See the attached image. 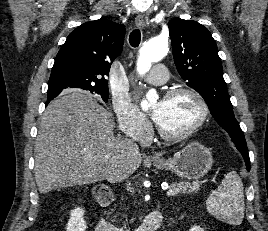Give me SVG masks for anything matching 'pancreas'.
<instances>
[{"label": "pancreas", "mask_w": 268, "mask_h": 231, "mask_svg": "<svg viewBox=\"0 0 268 231\" xmlns=\"http://www.w3.org/2000/svg\"><path fill=\"white\" fill-rule=\"evenodd\" d=\"M173 188L177 187L181 190V192L183 194H190V193H196L199 190V183L198 182H194L192 184L188 183V182H179V183H173L171 185Z\"/></svg>", "instance_id": "obj_1"}]
</instances>
